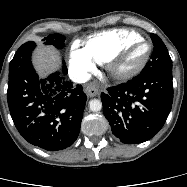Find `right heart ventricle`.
<instances>
[{
    "label": "right heart ventricle",
    "mask_w": 187,
    "mask_h": 187,
    "mask_svg": "<svg viewBox=\"0 0 187 187\" xmlns=\"http://www.w3.org/2000/svg\"><path fill=\"white\" fill-rule=\"evenodd\" d=\"M142 37L128 29H111L89 36L83 41V48L95 62L103 64L124 44Z\"/></svg>",
    "instance_id": "obj_1"
}]
</instances>
